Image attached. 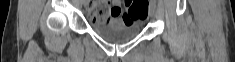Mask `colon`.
<instances>
[{"label":"colon","mask_w":235,"mask_h":62,"mask_svg":"<svg viewBox=\"0 0 235 62\" xmlns=\"http://www.w3.org/2000/svg\"><path fill=\"white\" fill-rule=\"evenodd\" d=\"M126 15V21L128 23L125 24H131L139 19L146 18V7L144 6V3L140 0H135L132 2V4L129 6ZM131 21V23H129Z\"/></svg>","instance_id":"obj_1"}]
</instances>
